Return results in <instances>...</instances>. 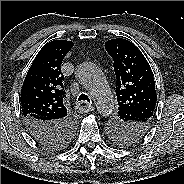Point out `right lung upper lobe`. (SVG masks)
<instances>
[{
	"mask_svg": "<svg viewBox=\"0 0 184 184\" xmlns=\"http://www.w3.org/2000/svg\"><path fill=\"white\" fill-rule=\"evenodd\" d=\"M72 47L71 41L55 40L39 51L22 87L21 107L24 117L32 116L49 122L68 118L64 75L60 67Z\"/></svg>",
	"mask_w": 184,
	"mask_h": 184,
	"instance_id": "cb5924a9",
	"label": "right lung upper lobe"
}]
</instances>
